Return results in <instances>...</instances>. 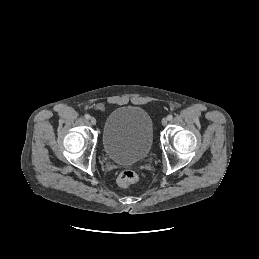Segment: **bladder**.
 <instances>
[{"mask_svg": "<svg viewBox=\"0 0 259 259\" xmlns=\"http://www.w3.org/2000/svg\"><path fill=\"white\" fill-rule=\"evenodd\" d=\"M106 156L119 164L145 160L153 145V124L149 114L135 106H121L106 118L102 132Z\"/></svg>", "mask_w": 259, "mask_h": 259, "instance_id": "bladder-1", "label": "bladder"}]
</instances>
